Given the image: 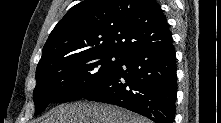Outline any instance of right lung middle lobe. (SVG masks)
<instances>
[{
	"label": "right lung middle lobe",
	"instance_id": "obj_1",
	"mask_svg": "<svg viewBox=\"0 0 221 123\" xmlns=\"http://www.w3.org/2000/svg\"><path fill=\"white\" fill-rule=\"evenodd\" d=\"M126 54L93 50L48 61L37 66L33 99L35 115L53 101L77 100L94 85L103 82Z\"/></svg>",
	"mask_w": 221,
	"mask_h": 123
}]
</instances>
